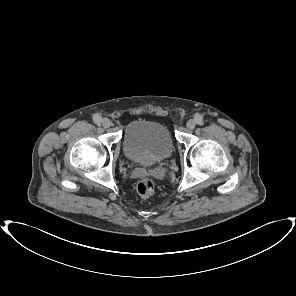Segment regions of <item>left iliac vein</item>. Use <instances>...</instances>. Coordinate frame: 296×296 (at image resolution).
Here are the masks:
<instances>
[{"label":"left iliac vein","mask_w":296,"mask_h":296,"mask_svg":"<svg viewBox=\"0 0 296 296\" xmlns=\"http://www.w3.org/2000/svg\"><path fill=\"white\" fill-rule=\"evenodd\" d=\"M196 126V121L193 119L188 120V122L186 123V127L190 130H193Z\"/></svg>","instance_id":"1"}]
</instances>
